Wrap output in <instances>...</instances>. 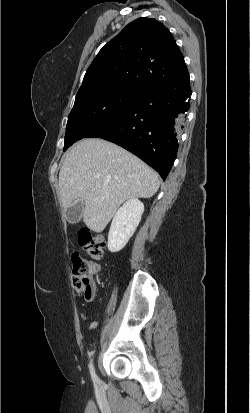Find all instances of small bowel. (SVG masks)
<instances>
[{"label":"small bowel","mask_w":250,"mask_h":413,"mask_svg":"<svg viewBox=\"0 0 250 413\" xmlns=\"http://www.w3.org/2000/svg\"><path fill=\"white\" fill-rule=\"evenodd\" d=\"M96 327V322H92L89 326V329L92 330Z\"/></svg>","instance_id":"1"}]
</instances>
